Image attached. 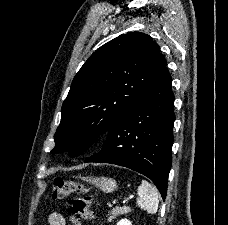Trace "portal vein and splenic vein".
I'll return each instance as SVG.
<instances>
[{
	"label": "portal vein and splenic vein",
	"mask_w": 228,
	"mask_h": 225,
	"mask_svg": "<svg viewBox=\"0 0 228 225\" xmlns=\"http://www.w3.org/2000/svg\"><path fill=\"white\" fill-rule=\"evenodd\" d=\"M138 195H131L130 197H127L126 200L122 201L123 205H129L131 200H138ZM119 201L118 197H115L114 200H111V202L107 203L108 207H115L116 206V202Z\"/></svg>",
	"instance_id": "portal-vein-and-splenic-vein-1"
}]
</instances>
